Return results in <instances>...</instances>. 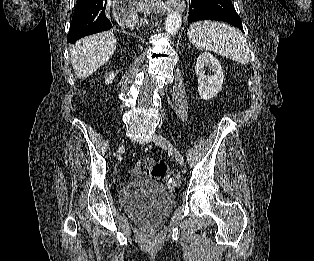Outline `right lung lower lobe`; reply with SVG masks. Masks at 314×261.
<instances>
[{"label": "right lung lower lobe", "mask_w": 314, "mask_h": 261, "mask_svg": "<svg viewBox=\"0 0 314 261\" xmlns=\"http://www.w3.org/2000/svg\"><path fill=\"white\" fill-rule=\"evenodd\" d=\"M106 3L107 0H77L67 37L69 43L112 27L105 14Z\"/></svg>", "instance_id": "obj_1"}]
</instances>
